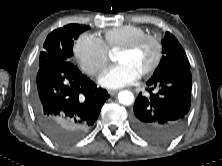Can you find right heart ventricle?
I'll use <instances>...</instances> for the list:
<instances>
[{"instance_id": "1", "label": "right heart ventricle", "mask_w": 222, "mask_h": 166, "mask_svg": "<svg viewBox=\"0 0 222 166\" xmlns=\"http://www.w3.org/2000/svg\"><path fill=\"white\" fill-rule=\"evenodd\" d=\"M144 34L146 32L141 27L124 25L106 30L103 41L108 51H116Z\"/></svg>"}]
</instances>
